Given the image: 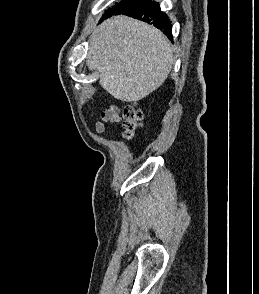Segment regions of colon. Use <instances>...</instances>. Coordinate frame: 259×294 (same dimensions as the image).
<instances>
[{
  "mask_svg": "<svg viewBox=\"0 0 259 294\" xmlns=\"http://www.w3.org/2000/svg\"><path fill=\"white\" fill-rule=\"evenodd\" d=\"M123 119L125 136L130 138L141 125L143 113L135 104H128L123 109Z\"/></svg>",
  "mask_w": 259,
  "mask_h": 294,
  "instance_id": "1",
  "label": "colon"
}]
</instances>
